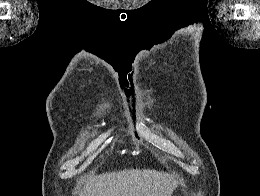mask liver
<instances>
[{
	"label": "liver",
	"mask_w": 260,
	"mask_h": 196,
	"mask_svg": "<svg viewBox=\"0 0 260 196\" xmlns=\"http://www.w3.org/2000/svg\"><path fill=\"white\" fill-rule=\"evenodd\" d=\"M175 176L157 170H123L88 176L79 196H171Z\"/></svg>",
	"instance_id": "1"
}]
</instances>
